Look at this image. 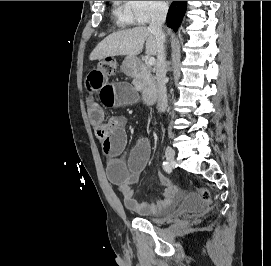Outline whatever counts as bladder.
Here are the masks:
<instances>
[{
	"instance_id": "bladder-1",
	"label": "bladder",
	"mask_w": 271,
	"mask_h": 266,
	"mask_svg": "<svg viewBox=\"0 0 271 266\" xmlns=\"http://www.w3.org/2000/svg\"><path fill=\"white\" fill-rule=\"evenodd\" d=\"M202 210L203 204L200 197L195 193H189L184 196L181 205L169 215L162 217L154 215H138V217L151 223L160 224L169 221L173 217H181L189 213L201 212Z\"/></svg>"
}]
</instances>
